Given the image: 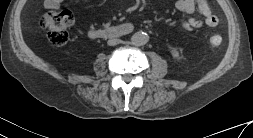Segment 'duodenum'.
<instances>
[{"instance_id": "1", "label": "duodenum", "mask_w": 253, "mask_h": 138, "mask_svg": "<svg viewBox=\"0 0 253 138\" xmlns=\"http://www.w3.org/2000/svg\"><path fill=\"white\" fill-rule=\"evenodd\" d=\"M129 32V28L125 26L117 27V28H107L103 31L104 37L107 38H116L122 35H125Z\"/></svg>"}]
</instances>
